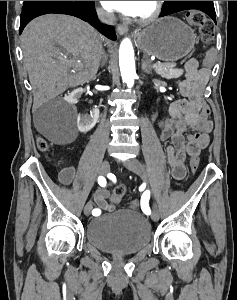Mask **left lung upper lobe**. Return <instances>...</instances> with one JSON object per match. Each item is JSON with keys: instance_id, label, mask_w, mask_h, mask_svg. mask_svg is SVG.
Segmentation results:
<instances>
[{"instance_id": "5c2ea615", "label": "left lung upper lobe", "mask_w": 237, "mask_h": 300, "mask_svg": "<svg viewBox=\"0 0 237 300\" xmlns=\"http://www.w3.org/2000/svg\"><path fill=\"white\" fill-rule=\"evenodd\" d=\"M164 2H165V9H164V11H167L174 4L183 3V2H189V1H164Z\"/></svg>"}]
</instances>
